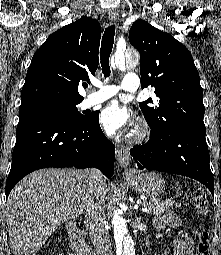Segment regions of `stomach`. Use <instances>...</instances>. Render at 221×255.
I'll return each instance as SVG.
<instances>
[{"label": "stomach", "instance_id": "1", "mask_svg": "<svg viewBox=\"0 0 221 255\" xmlns=\"http://www.w3.org/2000/svg\"><path fill=\"white\" fill-rule=\"evenodd\" d=\"M127 182L138 193L149 198L159 196L165 189L163 177L156 172L128 175Z\"/></svg>", "mask_w": 221, "mask_h": 255}]
</instances>
